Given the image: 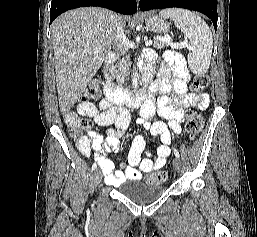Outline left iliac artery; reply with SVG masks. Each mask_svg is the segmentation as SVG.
Listing matches in <instances>:
<instances>
[{"instance_id":"obj_1","label":"left iliac artery","mask_w":257,"mask_h":237,"mask_svg":"<svg viewBox=\"0 0 257 237\" xmlns=\"http://www.w3.org/2000/svg\"><path fill=\"white\" fill-rule=\"evenodd\" d=\"M173 152H174V154H175V156H176L177 158H180V154H179L178 150L173 149Z\"/></svg>"}]
</instances>
